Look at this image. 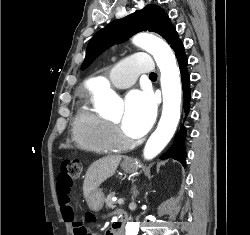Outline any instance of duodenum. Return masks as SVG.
I'll use <instances>...</instances> for the list:
<instances>
[{
  "label": "duodenum",
  "mask_w": 250,
  "mask_h": 235,
  "mask_svg": "<svg viewBox=\"0 0 250 235\" xmlns=\"http://www.w3.org/2000/svg\"><path fill=\"white\" fill-rule=\"evenodd\" d=\"M126 221H127V216L123 212H121L117 221L113 223L109 234L110 235H123L124 225Z\"/></svg>",
  "instance_id": "1"
}]
</instances>
